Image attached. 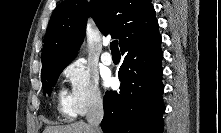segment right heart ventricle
Segmentation results:
<instances>
[{
    "instance_id": "e07e8e85",
    "label": "right heart ventricle",
    "mask_w": 221,
    "mask_h": 133,
    "mask_svg": "<svg viewBox=\"0 0 221 133\" xmlns=\"http://www.w3.org/2000/svg\"><path fill=\"white\" fill-rule=\"evenodd\" d=\"M58 111L66 117H73L75 115L68 95L64 92L61 91L58 95Z\"/></svg>"
}]
</instances>
